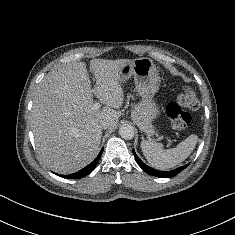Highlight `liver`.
I'll return each mask as SVG.
<instances>
[{
    "label": "liver",
    "instance_id": "obj_1",
    "mask_svg": "<svg viewBox=\"0 0 235 235\" xmlns=\"http://www.w3.org/2000/svg\"><path fill=\"white\" fill-rule=\"evenodd\" d=\"M131 60L92 59V89L84 62L67 64L48 73L38 84L33 99L31 124L37 150L53 171L69 174L96 157L102 137V122L115 128L124 92L119 71ZM93 94L102 109H93Z\"/></svg>",
    "mask_w": 235,
    "mask_h": 235
}]
</instances>
